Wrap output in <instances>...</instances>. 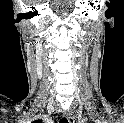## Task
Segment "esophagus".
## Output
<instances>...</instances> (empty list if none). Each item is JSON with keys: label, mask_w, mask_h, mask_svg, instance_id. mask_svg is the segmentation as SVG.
<instances>
[{"label": "esophagus", "mask_w": 124, "mask_h": 123, "mask_svg": "<svg viewBox=\"0 0 124 123\" xmlns=\"http://www.w3.org/2000/svg\"><path fill=\"white\" fill-rule=\"evenodd\" d=\"M64 117L67 118L69 123H75L74 116L69 110L64 111Z\"/></svg>", "instance_id": "obj_1"}]
</instances>
